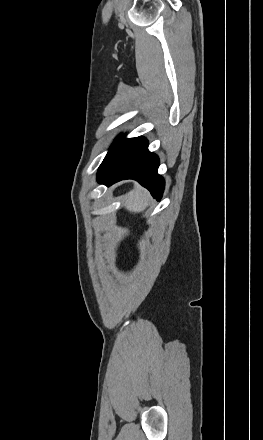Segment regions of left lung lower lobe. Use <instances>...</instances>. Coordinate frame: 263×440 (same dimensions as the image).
Returning <instances> with one entry per match:
<instances>
[{"label":"left lung lower lobe","instance_id":"0a47b994","mask_svg":"<svg viewBox=\"0 0 263 440\" xmlns=\"http://www.w3.org/2000/svg\"><path fill=\"white\" fill-rule=\"evenodd\" d=\"M158 167L159 158L148 151V141L144 137L122 138L108 163L98 171L97 181L109 186L123 179H134L160 200L164 180L157 172Z\"/></svg>","mask_w":263,"mask_h":440}]
</instances>
